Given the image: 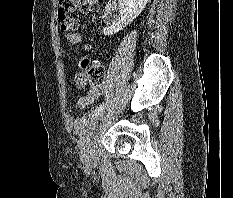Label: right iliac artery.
<instances>
[{
    "mask_svg": "<svg viewBox=\"0 0 233 198\" xmlns=\"http://www.w3.org/2000/svg\"><path fill=\"white\" fill-rule=\"evenodd\" d=\"M105 108V104L102 103L94 110V114H99Z\"/></svg>",
    "mask_w": 233,
    "mask_h": 198,
    "instance_id": "right-iliac-artery-1",
    "label": "right iliac artery"
}]
</instances>
